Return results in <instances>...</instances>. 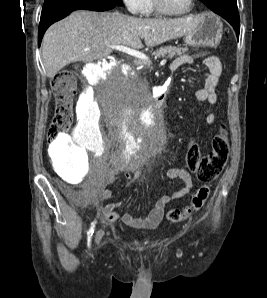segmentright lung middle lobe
<instances>
[{
  "mask_svg": "<svg viewBox=\"0 0 267 298\" xmlns=\"http://www.w3.org/2000/svg\"><path fill=\"white\" fill-rule=\"evenodd\" d=\"M58 0H45L44 5H43V9L47 8L49 5H51L52 3L56 2ZM101 1H108V2H112L115 3L116 5L121 6L122 5V0H101Z\"/></svg>",
  "mask_w": 267,
  "mask_h": 298,
  "instance_id": "1",
  "label": "right lung middle lobe"
}]
</instances>
